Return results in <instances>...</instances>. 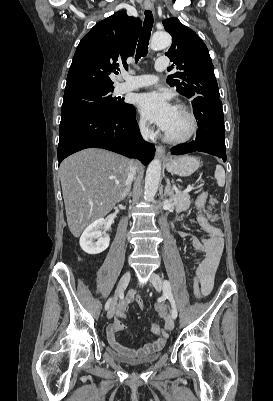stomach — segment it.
I'll return each mask as SVG.
<instances>
[{
	"label": "stomach",
	"mask_w": 273,
	"mask_h": 401,
	"mask_svg": "<svg viewBox=\"0 0 273 401\" xmlns=\"http://www.w3.org/2000/svg\"><path fill=\"white\" fill-rule=\"evenodd\" d=\"M168 172L179 174V176H190L200 166V160L195 156H177V158H167L164 162Z\"/></svg>",
	"instance_id": "stomach-1"
}]
</instances>
